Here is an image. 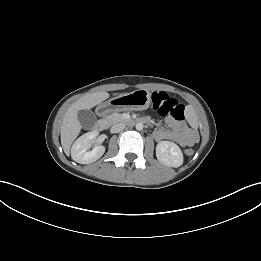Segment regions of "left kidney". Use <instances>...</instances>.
Listing matches in <instances>:
<instances>
[{
  "instance_id": "1",
  "label": "left kidney",
  "mask_w": 261,
  "mask_h": 261,
  "mask_svg": "<svg viewBox=\"0 0 261 261\" xmlns=\"http://www.w3.org/2000/svg\"><path fill=\"white\" fill-rule=\"evenodd\" d=\"M156 157L162 164L169 167H180L183 164V154L177 144L171 141H161L156 146Z\"/></svg>"
}]
</instances>
